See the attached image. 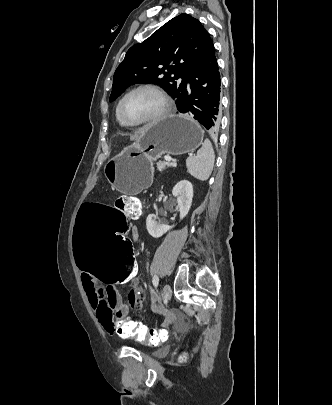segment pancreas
<instances>
[{
	"mask_svg": "<svg viewBox=\"0 0 332 405\" xmlns=\"http://www.w3.org/2000/svg\"><path fill=\"white\" fill-rule=\"evenodd\" d=\"M167 167H171V166H170V163H167V162H165V161H160V162L157 163V168H158L159 170H164V169H166Z\"/></svg>",
	"mask_w": 332,
	"mask_h": 405,
	"instance_id": "obj_1",
	"label": "pancreas"
}]
</instances>
